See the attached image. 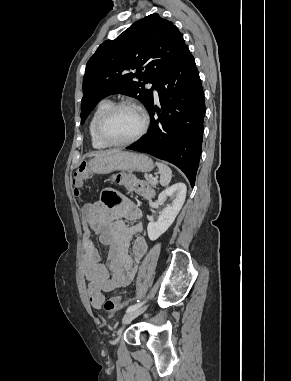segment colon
Instances as JSON below:
<instances>
[{
  "instance_id": "1",
  "label": "colon",
  "mask_w": 291,
  "mask_h": 381,
  "mask_svg": "<svg viewBox=\"0 0 291 381\" xmlns=\"http://www.w3.org/2000/svg\"><path fill=\"white\" fill-rule=\"evenodd\" d=\"M85 172V166L81 165L78 169L75 170L74 175H73V184L75 185V195H78V186L81 184L83 180ZM117 181L128 191L131 193H135L139 196L142 197H149L152 195V190L148 186L147 183L134 179V178H129L124 175H119L117 177ZM110 204L115 202V199L112 200H107ZM125 306V303L121 300L120 297L115 296L111 297L106 300L104 304V309L107 312H115L118 310H121Z\"/></svg>"
}]
</instances>
